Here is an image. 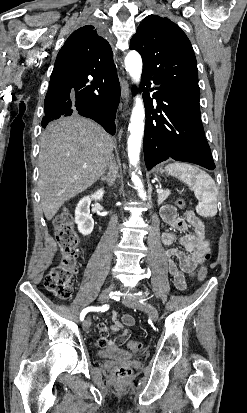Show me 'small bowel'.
Returning <instances> with one entry per match:
<instances>
[{
    "label": "small bowel",
    "instance_id": "obj_1",
    "mask_svg": "<svg viewBox=\"0 0 247 413\" xmlns=\"http://www.w3.org/2000/svg\"><path fill=\"white\" fill-rule=\"evenodd\" d=\"M161 214L166 226L184 232L180 237H177L173 232H164L161 235V241L165 246L177 242L183 250L170 249L166 252L167 268L169 274L173 277L174 286L176 289L183 291L187 286L186 276L195 273L203 262L204 252L209 249L206 228L202 220L191 210L186 211L182 217H177L173 207L165 206ZM189 228H192L193 231L187 232ZM134 324L135 318L132 315L124 314L120 320L116 312H111V330L119 331V334L115 336V340L110 342L112 349H127L129 347L127 338L132 336V331L128 328ZM95 329L98 331L100 338L109 336L106 322H97ZM96 347L106 349L108 342L98 340Z\"/></svg>",
    "mask_w": 247,
    "mask_h": 413
}]
</instances>
